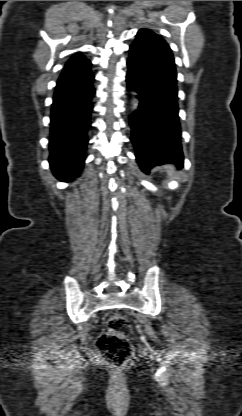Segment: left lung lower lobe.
<instances>
[{"label": "left lung lower lobe", "mask_w": 242, "mask_h": 416, "mask_svg": "<svg viewBox=\"0 0 242 416\" xmlns=\"http://www.w3.org/2000/svg\"><path fill=\"white\" fill-rule=\"evenodd\" d=\"M126 80L138 93L130 117L137 163L149 173L157 165H183L177 73L168 44L151 30H140L129 49Z\"/></svg>", "instance_id": "1"}]
</instances>
